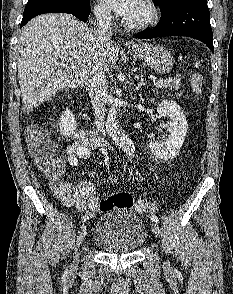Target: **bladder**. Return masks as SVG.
<instances>
[{"mask_svg": "<svg viewBox=\"0 0 233 294\" xmlns=\"http://www.w3.org/2000/svg\"><path fill=\"white\" fill-rule=\"evenodd\" d=\"M146 236V227L138 215L125 208H114L96 222L93 241L107 252L130 253L143 245Z\"/></svg>", "mask_w": 233, "mask_h": 294, "instance_id": "bladder-1", "label": "bladder"}]
</instances>
